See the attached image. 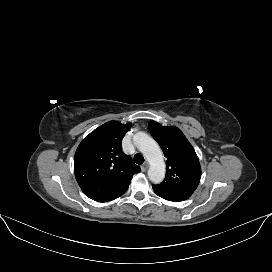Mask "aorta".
I'll return each mask as SVG.
<instances>
[{
    "label": "aorta",
    "instance_id": "1",
    "mask_svg": "<svg viewBox=\"0 0 272 272\" xmlns=\"http://www.w3.org/2000/svg\"><path fill=\"white\" fill-rule=\"evenodd\" d=\"M133 141L150 163L149 180L154 184L162 182L165 177V163L163 153L157 142L145 132L136 133Z\"/></svg>",
    "mask_w": 272,
    "mask_h": 272
}]
</instances>
